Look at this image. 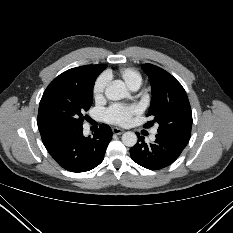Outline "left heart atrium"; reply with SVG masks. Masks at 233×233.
Instances as JSON below:
<instances>
[{"mask_svg": "<svg viewBox=\"0 0 233 233\" xmlns=\"http://www.w3.org/2000/svg\"><path fill=\"white\" fill-rule=\"evenodd\" d=\"M138 112L137 106L114 104L106 110L105 117L111 124L126 126L130 123L132 116Z\"/></svg>", "mask_w": 233, "mask_h": 233, "instance_id": "left-heart-atrium-1", "label": "left heart atrium"}]
</instances>
